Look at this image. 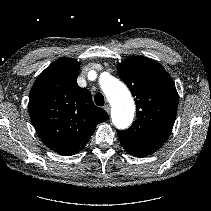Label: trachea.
<instances>
[{"instance_id": "1", "label": "trachea", "mask_w": 211, "mask_h": 211, "mask_svg": "<svg viewBox=\"0 0 211 211\" xmlns=\"http://www.w3.org/2000/svg\"><path fill=\"white\" fill-rule=\"evenodd\" d=\"M94 101L97 106H104L105 100H104V96L101 93L95 94Z\"/></svg>"}]
</instances>
